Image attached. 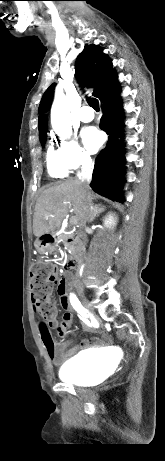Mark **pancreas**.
I'll list each match as a JSON object with an SVG mask.
<instances>
[{"mask_svg": "<svg viewBox=\"0 0 165 461\" xmlns=\"http://www.w3.org/2000/svg\"><path fill=\"white\" fill-rule=\"evenodd\" d=\"M65 246L67 247L68 250H70L72 252L75 251V247H74L73 243H65Z\"/></svg>", "mask_w": 165, "mask_h": 461, "instance_id": "pancreas-1", "label": "pancreas"}]
</instances>
